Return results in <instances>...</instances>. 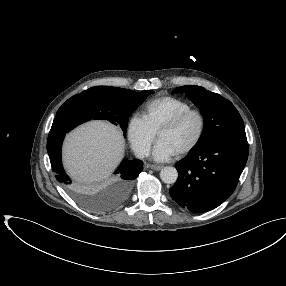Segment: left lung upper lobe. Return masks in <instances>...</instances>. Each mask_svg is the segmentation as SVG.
I'll use <instances>...</instances> for the list:
<instances>
[{"instance_id":"obj_1","label":"left lung upper lobe","mask_w":286,"mask_h":286,"mask_svg":"<svg viewBox=\"0 0 286 286\" xmlns=\"http://www.w3.org/2000/svg\"><path fill=\"white\" fill-rule=\"evenodd\" d=\"M183 92L204 117L202 135L192 149L220 139L247 140L243 120L229 100L196 85L181 86L173 91Z\"/></svg>"}]
</instances>
